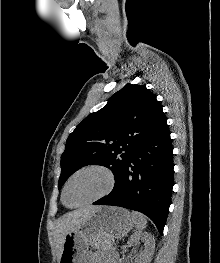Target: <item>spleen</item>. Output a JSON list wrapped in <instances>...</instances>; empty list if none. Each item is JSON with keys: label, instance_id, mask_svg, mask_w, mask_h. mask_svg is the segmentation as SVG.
Returning a JSON list of instances; mask_svg holds the SVG:
<instances>
[{"label": "spleen", "instance_id": "1", "mask_svg": "<svg viewBox=\"0 0 220 263\" xmlns=\"http://www.w3.org/2000/svg\"><path fill=\"white\" fill-rule=\"evenodd\" d=\"M132 218L137 230H143L146 228L147 220L140 213L132 212Z\"/></svg>", "mask_w": 220, "mask_h": 263}]
</instances>
